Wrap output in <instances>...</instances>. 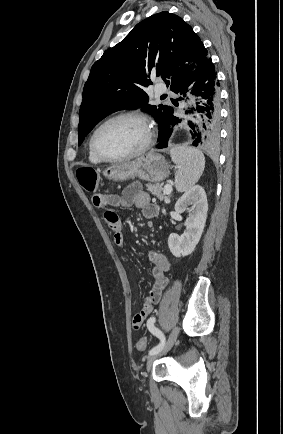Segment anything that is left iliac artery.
I'll list each match as a JSON object with an SVG mask.
<instances>
[{
    "mask_svg": "<svg viewBox=\"0 0 283 434\" xmlns=\"http://www.w3.org/2000/svg\"><path fill=\"white\" fill-rule=\"evenodd\" d=\"M156 319L155 317H152L148 320L147 322V327L148 329L156 336L160 339V343L153 347L150 351H149V355H153L156 354L157 352H159L165 345V336L164 334L154 326Z\"/></svg>",
    "mask_w": 283,
    "mask_h": 434,
    "instance_id": "obj_1",
    "label": "left iliac artery"
}]
</instances>
